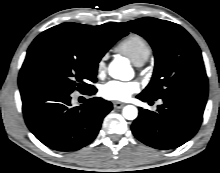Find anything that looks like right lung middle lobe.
Masks as SVG:
<instances>
[{"instance_id": "right-lung-middle-lobe-1", "label": "right lung middle lobe", "mask_w": 220, "mask_h": 173, "mask_svg": "<svg viewBox=\"0 0 220 173\" xmlns=\"http://www.w3.org/2000/svg\"><path fill=\"white\" fill-rule=\"evenodd\" d=\"M100 58L88 46L69 38H52L41 43L31 58L26 77L30 85L62 91L87 90L96 82Z\"/></svg>"}]
</instances>
